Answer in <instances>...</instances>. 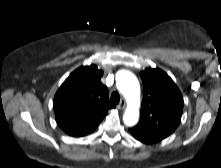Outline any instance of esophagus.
I'll return each instance as SVG.
<instances>
[{
    "instance_id": "obj_1",
    "label": "esophagus",
    "mask_w": 221,
    "mask_h": 168,
    "mask_svg": "<svg viewBox=\"0 0 221 168\" xmlns=\"http://www.w3.org/2000/svg\"><path fill=\"white\" fill-rule=\"evenodd\" d=\"M126 106V101L124 99H122L118 105L119 109H124Z\"/></svg>"
}]
</instances>
